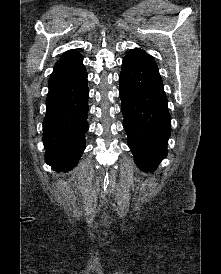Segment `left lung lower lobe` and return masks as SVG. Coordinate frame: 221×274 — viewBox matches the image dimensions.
<instances>
[{"label": "left lung lower lobe", "instance_id": "1", "mask_svg": "<svg viewBox=\"0 0 221 274\" xmlns=\"http://www.w3.org/2000/svg\"><path fill=\"white\" fill-rule=\"evenodd\" d=\"M119 81L128 145L137 166L152 172L167 155L171 119L158 67L145 51L132 49L122 61Z\"/></svg>", "mask_w": 221, "mask_h": 274}]
</instances>
